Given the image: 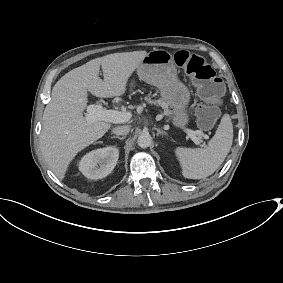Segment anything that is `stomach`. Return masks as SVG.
Here are the masks:
<instances>
[{"instance_id": "obj_1", "label": "stomach", "mask_w": 283, "mask_h": 283, "mask_svg": "<svg viewBox=\"0 0 283 283\" xmlns=\"http://www.w3.org/2000/svg\"><path fill=\"white\" fill-rule=\"evenodd\" d=\"M137 74L140 80L160 90L162 100L173 109L170 111V119L176 126L183 128L189 119L186 107L190 92L177 77L172 55L163 49L150 51L137 67ZM134 85L132 81L130 86Z\"/></svg>"}]
</instances>
